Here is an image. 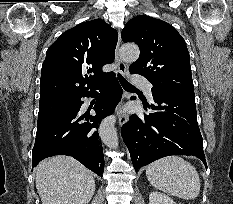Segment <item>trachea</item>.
I'll return each mask as SVG.
<instances>
[{"mask_svg": "<svg viewBox=\"0 0 233 204\" xmlns=\"http://www.w3.org/2000/svg\"><path fill=\"white\" fill-rule=\"evenodd\" d=\"M118 79L124 89L126 90L135 89V87L131 85L128 81H126L120 74H118Z\"/></svg>", "mask_w": 233, "mask_h": 204, "instance_id": "3493384b", "label": "trachea"}]
</instances>
